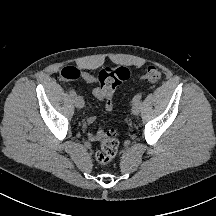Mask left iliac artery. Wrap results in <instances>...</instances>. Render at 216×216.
<instances>
[{"instance_id": "1", "label": "left iliac artery", "mask_w": 216, "mask_h": 216, "mask_svg": "<svg viewBox=\"0 0 216 216\" xmlns=\"http://www.w3.org/2000/svg\"><path fill=\"white\" fill-rule=\"evenodd\" d=\"M142 98V94H137L134 98H133V104L134 103H138Z\"/></svg>"}]
</instances>
